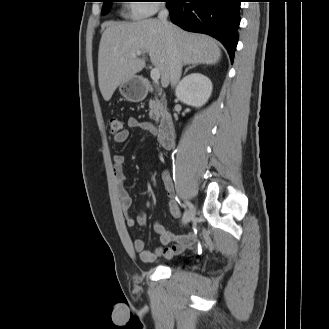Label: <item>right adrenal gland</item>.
<instances>
[{
  "label": "right adrenal gland",
  "mask_w": 329,
  "mask_h": 329,
  "mask_svg": "<svg viewBox=\"0 0 329 329\" xmlns=\"http://www.w3.org/2000/svg\"><path fill=\"white\" fill-rule=\"evenodd\" d=\"M196 66H198V64H195V65H192V66H189L185 69V72H184V75L188 72V70L192 69V68H195Z\"/></svg>",
  "instance_id": "1"
}]
</instances>
